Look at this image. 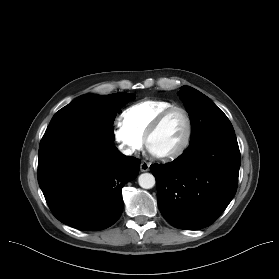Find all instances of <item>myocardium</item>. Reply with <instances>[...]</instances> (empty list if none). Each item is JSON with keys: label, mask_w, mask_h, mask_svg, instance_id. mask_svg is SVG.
I'll return each mask as SVG.
<instances>
[{"label": "myocardium", "mask_w": 279, "mask_h": 279, "mask_svg": "<svg viewBox=\"0 0 279 279\" xmlns=\"http://www.w3.org/2000/svg\"><path fill=\"white\" fill-rule=\"evenodd\" d=\"M173 111H180L185 117V120H186L185 137H184L183 141L180 143V145L177 148H175L174 150L166 152V153H162V154L154 153L151 150L150 145H149L150 139L160 128V126L162 125L163 121L167 118V116L170 113H172ZM192 135H193V122H192V118H191L189 112L184 107L173 105V106H170V107L164 109L156 116V118L153 120V122L147 129V132L144 137V141H145V146H146L147 150L154 157L165 161V160H172V159H175L178 156H180L188 148V146L191 142V139H192Z\"/></svg>", "instance_id": "myocardium-1"}]
</instances>
